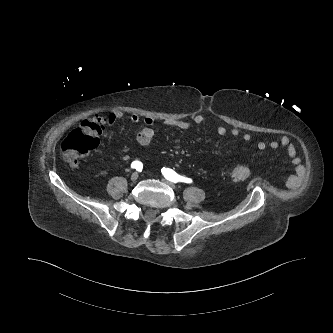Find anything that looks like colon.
<instances>
[{
	"label": "colon",
	"instance_id": "obj_1",
	"mask_svg": "<svg viewBox=\"0 0 333 333\" xmlns=\"http://www.w3.org/2000/svg\"><path fill=\"white\" fill-rule=\"evenodd\" d=\"M106 122V119L100 116L88 118L67 136L61 146L67 164L75 167L80 158L98 146ZM231 176L236 181H245L250 176V169L244 165H237L231 170Z\"/></svg>",
	"mask_w": 333,
	"mask_h": 333
}]
</instances>
